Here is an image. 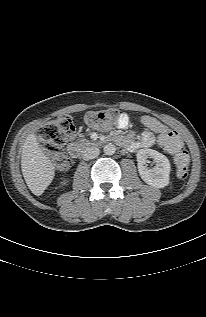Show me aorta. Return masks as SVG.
Masks as SVG:
<instances>
[{"instance_id": "1", "label": "aorta", "mask_w": 206, "mask_h": 317, "mask_svg": "<svg viewBox=\"0 0 206 317\" xmlns=\"http://www.w3.org/2000/svg\"><path fill=\"white\" fill-rule=\"evenodd\" d=\"M103 151L106 155H113L116 152V146L109 143L104 146Z\"/></svg>"}]
</instances>
